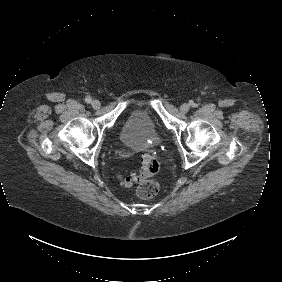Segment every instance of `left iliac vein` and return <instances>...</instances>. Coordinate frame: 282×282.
I'll return each instance as SVG.
<instances>
[{
  "label": "left iliac vein",
  "instance_id": "left-iliac-vein-1",
  "mask_svg": "<svg viewBox=\"0 0 282 282\" xmlns=\"http://www.w3.org/2000/svg\"><path fill=\"white\" fill-rule=\"evenodd\" d=\"M189 109H190V105L187 104V103L182 104V105L180 106V111H181V113H183V114L187 113V112L189 111Z\"/></svg>",
  "mask_w": 282,
  "mask_h": 282
}]
</instances>
